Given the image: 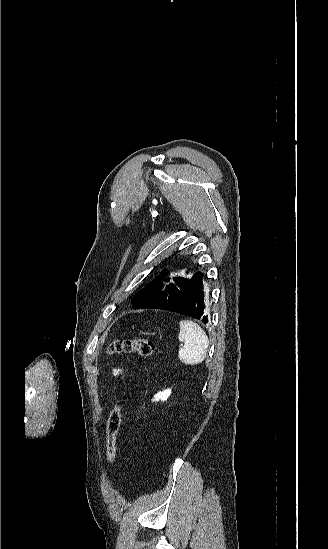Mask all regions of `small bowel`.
I'll list each match as a JSON object with an SVG mask.
<instances>
[{"mask_svg": "<svg viewBox=\"0 0 328 549\" xmlns=\"http://www.w3.org/2000/svg\"><path fill=\"white\" fill-rule=\"evenodd\" d=\"M113 375L116 376V377L121 376L122 375V370L119 369V368L113 369Z\"/></svg>", "mask_w": 328, "mask_h": 549, "instance_id": "c3829d8e", "label": "small bowel"}]
</instances>
